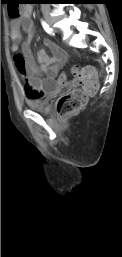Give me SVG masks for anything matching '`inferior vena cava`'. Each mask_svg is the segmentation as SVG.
Returning <instances> with one entry per match:
<instances>
[{"label":"inferior vena cava","mask_w":122,"mask_h":257,"mask_svg":"<svg viewBox=\"0 0 122 257\" xmlns=\"http://www.w3.org/2000/svg\"><path fill=\"white\" fill-rule=\"evenodd\" d=\"M49 9V4H42V10Z\"/></svg>","instance_id":"602c4592"}]
</instances>
